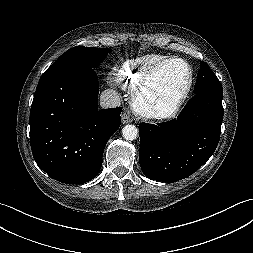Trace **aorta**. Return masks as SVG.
<instances>
[{"mask_svg":"<svg viewBox=\"0 0 253 253\" xmlns=\"http://www.w3.org/2000/svg\"><path fill=\"white\" fill-rule=\"evenodd\" d=\"M122 135L126 140H135L138 137V129L135 125L128 124L122 129Z\"/></svg>","mask_w":253,"mask_h":253,"instance_id":"aorta-1","label":"aorta"}]
</instances>
